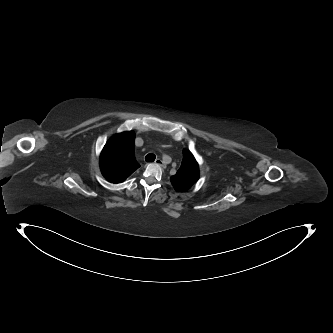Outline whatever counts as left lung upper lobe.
I'll return each mask as SVG.
<instances>
[{"mask_svg":"<svg viewBox=\"0 0 333 333\" xmlns=\"http://www.w3.org/2000/svg\"><path fill=\"white\" fill-rule=\"evenodd\" d=\"M199 166L193 154L184 149L181 167L170 177L171 184L177 192H185L198 180Z\"/></svg>","mask_w":333,"mask_h":333,"instance_id":"5c2ea615","label":"left lung upper lobe"}]
</instances>
